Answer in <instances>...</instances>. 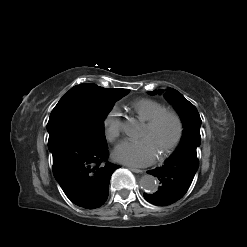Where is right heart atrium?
Here are the masks:
<instances>
[{"instance_id": "right-heart-atrium-1", "label": "right heart atrium", "mask_w": 247, "mask_h": 247, "mask_svg": "<svg viewBox=\"0 0 247 247\" xmlns=\"http://www.w3.org/2000/svg\"><path fill=\"white\" fill-rule=\"evenodd\" d=\"M121 110L118 106H113L103 119V132L106 140L115 142L121 134Z\"/></svg>"}]
</instances>
